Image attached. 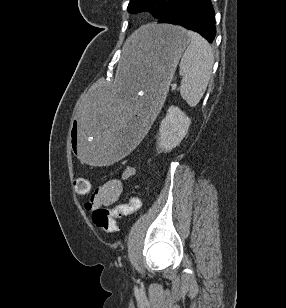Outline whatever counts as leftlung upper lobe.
Returning <instances> with one entry per match:
<instances>
[{
    "label": "left lung upper lobe",
    "instance_id": "obj_1",
    "mask_svg": "<svg viewBox=\"0 0 286 308\" xmlns=\"http://www.w3.org/2000/svg\"><path fill=\"white\" fill-rule=\"evenodd\" d=\"M172 0H130L128 11L135 13L140 11H150L159 18Z\"/></svg>",
    "mask_w": 286,
    "mask_h": 308
}]
</instances>
